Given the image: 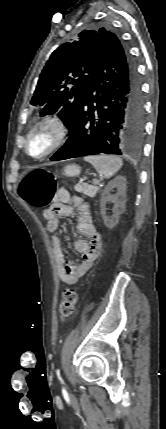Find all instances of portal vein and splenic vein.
<instances>
[{"label": "portal vein and splenic vein", "instance_id": "1", "mask_svg": "<svg viewBox=\"0 0 166 429\" xmlns=\"http://www.w3.org/2000/svg\"><path fill=\"white\" fill-rule=\"evenodd\" d=\"M93 183H94V184H97V183H98V181H96V180H93Z\"/></svg>", "mask_w": 166, "mask_h": 429}]
</instances>
